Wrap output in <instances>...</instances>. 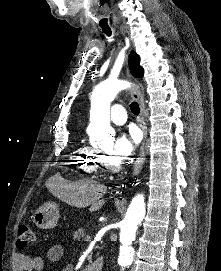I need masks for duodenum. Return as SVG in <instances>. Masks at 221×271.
Wrapping results in <instances>:
<instances>
[{
  "mask_svg": "<svg viewBox=\"0 0 221 271\" xmlns=\"http://www.w3.org/2000/svg\"><path fill=\"white\" fill-rule=\"evenodd\" d=\"M102 269H103V258L101 256H98L87 266H85L81 271H102Z\"/></svg>",
  "mask_w": 221,
  "mask_h": 271,
  "instance_id": "1",
  "label": "duodenum"
}]
</instances>
